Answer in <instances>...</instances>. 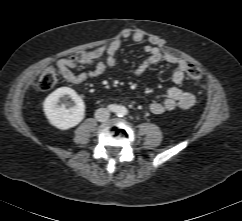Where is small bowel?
<instances>
[{"mask_svg":"<svg viewBox=\"0 0 242 221\" xmlns=\"http://www.w3.org/2000/svg\"><path fill=\"white\" fill-rule=\"evenodd\" d=\"M144 38V33L140 31L125 29L122 32L121 38L114 39L101 47L86 52V54L90 55V59L83 63L94 64L92 69L79 73L74 72L78 63L72 58H62L58 60L57 67L62 77L72 84H80L98 79L103 77L109 69L116 66V54L121 47L123 39H129L135 43H140ZM144 51L148 54V57L133 70L132 73L134 76L143 75L151 65L159 62H166L174 67L172 81L175 85L166 90L163 101H154L150 104V111L155 115H161L178 108H191L195 103L194 94L180 88L184 80V73L188 67L187 62L173 54L163 52L158 46L151 42L144 46Z\"/></svg>","mask_w":242,"mask_h":221,"instance_id":"small-bowel-1","label":"small bowel"}]
</instances>
